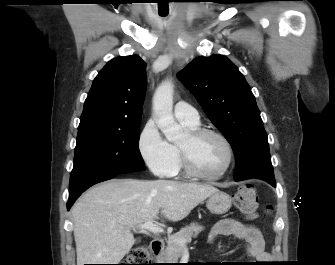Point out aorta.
<instances>
[{"label": "aorta", "mask_w": 335, "mask_h": 265, "mask_svg": "<svg viewBox=\"0 0 335 265\" xmlns=\"http://www.w3.org/2000/svg\"><path fill=\"white\" fill-rule=\"evenodd\" d=\"M153 111L156 124L166 139L175 142L183 135V131L173 115V85L170 81L163 82L153 97Z\"/></svg>", "instance_id": "aorta-1"}]
</instances>
